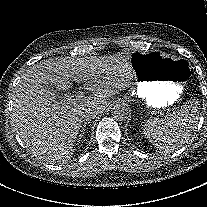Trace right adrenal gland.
I'll use <instances>...</instances> for the list:
<instances>
[{
	"instance_id": "1",
	"label": "right adrenal gland",
	"mask_w": 207,
	"mask_h": 207,
	"mask_svg": "<svg viewBox=\"0 0 207 207\" xmlns=\"http://www.w3.org/2000/svg\"><path fill=\"white\" fill-rule=\"evenodd\" d=\"M90 124V121L87 119V120H83V123H82V125H83V129H82V131L80 132V141H81V139H82V136L83 135H86L87 134V129H88V125Z\"/></svg>"
}]
</instances>
